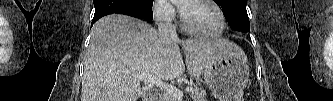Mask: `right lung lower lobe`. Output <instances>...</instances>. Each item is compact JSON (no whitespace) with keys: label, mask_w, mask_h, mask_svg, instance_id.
I'll return each mask as SVG.
<instances>
[{"label":"right lung lower lobe","mask_w":333,"mask_h":101,"mask_svg":"<svg viewBox=\"0 0 333 101\" xmlns=\"http://www.w3.org/2000/svg\"><path fill=\"white\" fill-rule=\"evenodd\" d=\"M95 14L92 25L101 17L119 13L152 21V11L141 0H94Z\"/></svg>","instance_id":"1"}]
</instances>
